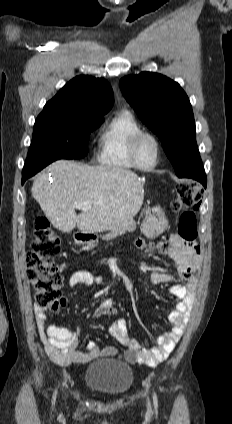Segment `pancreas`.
<instances>
[{"label":"pancreas","mask_w":232,"mask_h":424,"mask_svg":"<svg viewBox=\"0 0 232 424\" xmlns=\"http://www.w3.org/2000/svg\"><path fill=\"white\" fill-rule=\"evenodd\" d=\"M136 229V223L133 219H128L118 227L111 230L110 233L105 235L106 239H113L118 235H122L126 232H133Z\"/></svg>","instance_id":"pancreas-1"}]
</instances>
